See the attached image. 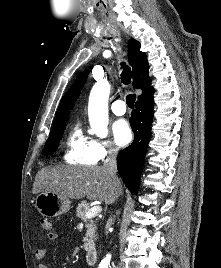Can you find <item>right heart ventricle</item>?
Returning <instances> with one entry per match:
<instances>
[{
	"label": "right heart ventricle",
	"instance_id": "e07e8e85",
	"mask_svg": "<svg viewBox=\"0 0 221 268\" xmlns=\"http://www.w3.org/2000/svg\"><path fill=\"white\" fill-rule=\"evenodd\" d=\"M63 158L73 165L92 166L97 163L93 139L83 132L80 123L73 126L66 138Z\"/></svg>",
	"mask_w": 221,
	"mask_h": 268
}]
</instances>
